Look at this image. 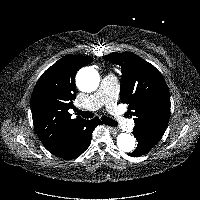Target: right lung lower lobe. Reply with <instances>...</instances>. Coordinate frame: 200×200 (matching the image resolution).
I'll list each match as a JSON object with an SVG mask.
<instances>
[{
    "label": "right lung lower lobe",
    "mask_w": 200,
    "mask_h": 200,
    "mask_svg": "<svg viewBox=\"0 0 200 200\" xmlns=\"http://www.w3.org/2000/svg\"><path fill=\"white\" fill-rule=\"evenodd\" d=\"M101 123L97 117L93 120L84 119L62 145L50 152L63 159L79 156L90 146L92 132L95 126Z\"/></svg>",
    "instance_id": "obj_1"
}]
</instances>
